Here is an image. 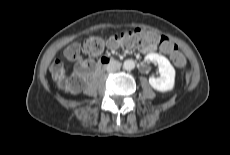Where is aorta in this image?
Returning <instances> with one entry per match:
<instances>
[{
	"mask_svg": "<svg viewBox=\"0 0 230 155\" xmlns=\"http://www.w3.org/2000/svg\"><path fill=\"white\" fill-rule=\"evenodd\" d=\"M123 68L125 70H133L135 68V62L132 59H128L126 61H124L123 63Z\"/></svg>",
	"mask_w": 230,
	"mask_h": 155,
	"instance_id": "762f6f07",
	"label": "aorta"
}]
</instances>
